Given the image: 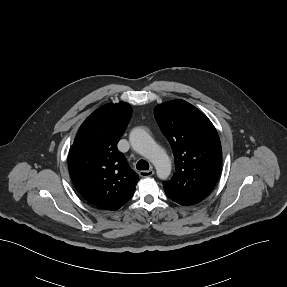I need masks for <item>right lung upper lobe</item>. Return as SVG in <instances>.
<instances>
[{
    "instance_id": "1",
    "label": "right lung upper lobe",
    "mask_w": 287,
    "mask_h": 287,
    "mask_svg": "<svg viewBox=\"0 0 287 287\" xmlns=\"http://www.w3.org/2000/svg\"><path fill=\"white\" fill-rule=\"evenodd\" d=\"M131 113L125 102L98 108L81 125L68 156L75 188L101 209L131 198L139 180L117 149Z\"/></svg>"
}]
</instances>
